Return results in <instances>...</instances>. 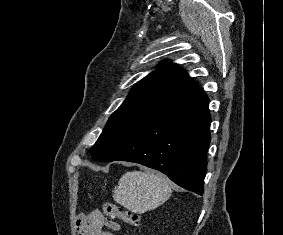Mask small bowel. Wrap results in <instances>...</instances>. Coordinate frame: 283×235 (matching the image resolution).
<instances>
[{"mask_svg":"<svg viewBox=\"0 0 283 235\" xmlns=\"http://www.w3.org/2000/svg\"><path fill=\"white\" fill-rule=\"evenodd\" d=\"M77 226L79 235H114L120 230V224L105 218L99 211H93L88 215H79Z\"/></svg>","mask_w":283,"mask_h":235,"instance_id":"obj_1","label":"small bowel"}]
</instances>
